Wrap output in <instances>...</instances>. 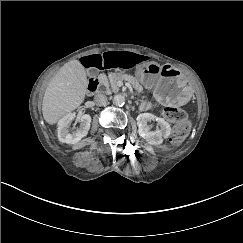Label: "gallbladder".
Instances as JSON below:
<instances>
[{
	"instance_id": "gallbladder-1",
	"label": "gallbladder",
	"mask_w": 243,
	"mask_h": 243,
	"mask_svg": "<svg viewBox=\"0 0 243 243\" xmlns=\"http://www.w3.org/2000/svg\"><path fill=\"white\" fill-rule=\"evenodd\" d=\"M89 74L90 75H96L97 74V69L96 68H90L89 69Z\"/></svg>"
}]
</instances>
